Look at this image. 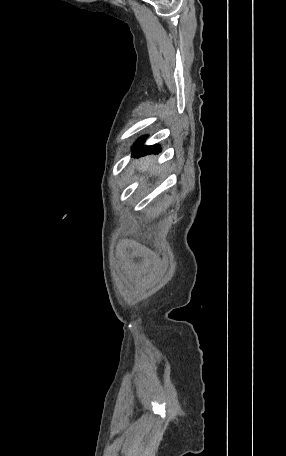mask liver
Returning <instances> with one entry per match:
<instances>
[{
  "mask_svg": "<svg viewBox=\"0 0 286 456\" xmlns=\"http://www.w3.org/2000/svg\"><path fill=\"white\" fill-rule=\"evenodd\" d=\"M139 170H142L143 172H149V173H155L156 169L154 168V159L147 157L143 160L140 161L139 163ZM160 171V169H159Z\"/></svg>",
  "mask_w": 286,
  "mask_h": 456,
  "instance_id": "1",
  "label": "liver"
}]
</instances>
